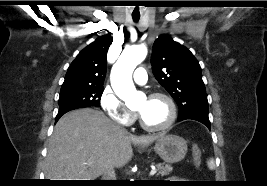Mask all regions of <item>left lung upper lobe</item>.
Returning <instances> with one entry per match:
<instances>
[{
    "label": "left lung upper lobe",
    "mask_w": 267,
    "mask_h": 186,
    "mask_svg": "<svg viewBox=\"0 0 267 186\" xmlns=\"http://www.w3.org/2000/svg\"><path fill=\"white\" fill-rule=\"evenodd\" d=\"M152 71L179 107V118L207 117L208 100L197 59L183 45L167 35L155 40Z\"/></svg>",
    "instance_id": "obj_1"
}]
</instances>
